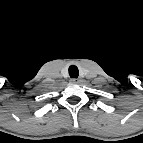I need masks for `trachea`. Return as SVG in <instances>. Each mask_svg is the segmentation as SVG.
<instances>
[{
  "label": "trachea",
  "mask_w": 143,
  "mask_h": 143,
  "mask_svg": "<svg viewBox=\"0 0 143 143\" xmlns=\"http://www.w3.org/2000/svg\"><path fill=\"white\" fill-rule=\"evenodd\" d=\"M69 75L71 78H77L79 76V70L75 65L69 67Z\"/></svg>",
  "instance_id": "3493384b"
}]
</instances>
